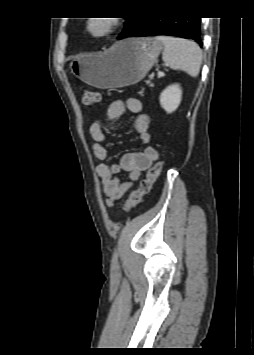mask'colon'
<instances>
[{"label": "colon", "mask_w": 254, "mask_h": 355, "mask_svg": "<svg viewBox=\"0 0 254 355\" xmlns=\"http://www.w3.org/2000/svg\"><path fill=\"white\" fill-rule=\"evenodd\" d=\"M100 99V94L96 91L86 89L82 92V104L87 108L95 106L100 102ZM163 165V161H158L148 170L146 177L140 180L138 188L132 191L124 202L123 211L129 212L142 202L144 196L151 191L152 185L158 179Z\"/></svg>", "instance_id": "obj_1"}]
</instances>
